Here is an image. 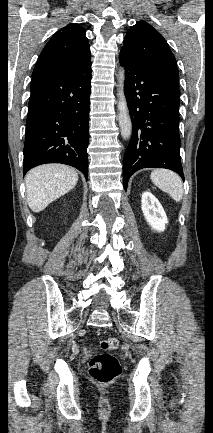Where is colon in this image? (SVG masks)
<instances>
[{"label":"colon","instance_id":"5ec220e1","mask_svg":"<svg viewBox=\"0 0 213 433\" xmlns=\"http://www.w3.org/2000/svg\"><path fill=\"white\" fill-rule=\"evenodd\" d=\"M99 346L105 352L96 354L91 358L89 375L97 383L109 384L116 380L122 372L119 360L108 352L117 349L119 342L116 338L110 337L101 340Z\"/></svg>","mask_w":213,"mask_h":433}]
</instances>
